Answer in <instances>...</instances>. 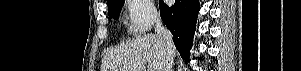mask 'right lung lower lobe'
Returning a JSON list of instances; mask_svg holds the SVG:
<instances>
[{"instance_id":"1","label":"right lung lower lobe","mask_w":301,"mask_h":71,"mask_svg":"<svg viewBox=\"0 0 301 71\" xmlns=\"http://www.w3.org/2000/svg\"><path fill=\"white\" fill-rule=\"evenodd\" d=\"M159 7L163 22L174 36L173 41L177 50L183 59L189 61L200 9L199 0H175L172 6H167L160 0Z\"/></svg>"}]
</instances>
